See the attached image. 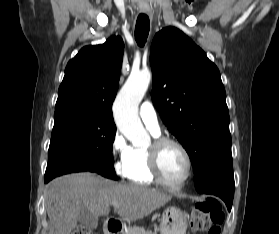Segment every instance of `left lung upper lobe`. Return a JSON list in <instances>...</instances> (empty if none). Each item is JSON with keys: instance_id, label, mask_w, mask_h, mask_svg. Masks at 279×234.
<instances>
[{"instance_id": "5c2ea615", "label": "left lung upper lobe", "mask_w": 279, "mask_h": 234, "mask_svg": "<svg viewBox=\"0 0 279 234\" xmlns=\"http://www.w3.org/2000/svg\"><path fill=\"white\" fill-rule=\"evenodd\" d=\"M150 63L153 101L190 156L195 187L233 179L229 113L216 65L174 27L155 35Z\"/></svg>"}]
</instances>
